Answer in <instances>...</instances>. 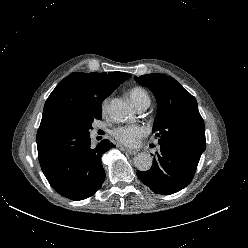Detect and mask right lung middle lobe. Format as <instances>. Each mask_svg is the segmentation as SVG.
<instances>
[{
  "label": "right lung middle lobe",
  "mask_w": 248,
  "mask_h": 248,
  "mask_svg": "<svg viewBox=\"0 0 248 248\" xmlns=\"http://www.w3.org/2000/svg\"><path fill=\"white\" fill-rule=\"evenodd\" d=\"M102 117V109H99L97 111L92 112L85 118L81 120H77L71 124H69L67 127H70L74 130L83 132V133H89V130L92 128V122L94 119H101Z\"/></svg>",
  "instance_id": "1"
}]
</instances>
